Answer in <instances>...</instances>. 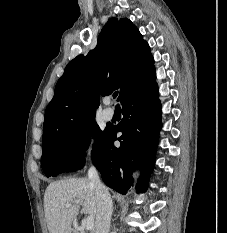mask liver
<instances>
[{
  "label": "liver",
  "instance_id": "6515ba94",
  "mask_svg": "<svg viewBox=\"0 0 227 233\" xmlns=\"http://www.w3.org/2000/svg\"><path fill=\"white\" fill-rule=\"evenodd\" d=\"M66 204H70V207L66 208ZM80 205L86 214L96 218L98 200L89 179L69 178L51 182L44 194V212L49 233H70Z\"/></svg>",
  "mask_w": 227,
  "mask_h": 233
}]
</instances>
